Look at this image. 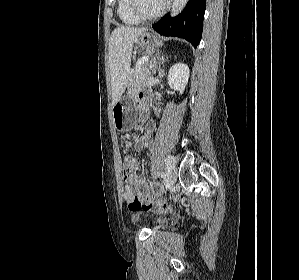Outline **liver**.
Masks as SVG:
<instances>
[{
	"mask_svg": "<svg viewBox=\"0 0 299 280\" xmlns=\"http://www.w3.org/2000/svg\"><path fill=\"white\" fill-rule=\"evenodd\" d=\"M146 28L120 26L109 40V63L112 87V106L121 98L130 79V65L134 41Z\"/></svg>",
	"mask_w": 299,
	"mask_h": 280,
	"instance_id": "6515ba94",
	"label": "liver"
}]
</instances>
